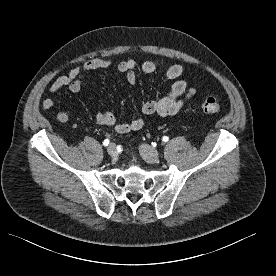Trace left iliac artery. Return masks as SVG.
Listing matches in <instances>:
<instances>
[{"mask_svg": "<svg viewBox=\"0 0 276 276\" xmlns=\"http://www.w3.org/2000/svg\"><path fill=\"white\" fill-rule=\"evenodd\" d=\"M162 140H163L164 142H167V141L169 140V138H168L167 136H164V137L162 138Z\"/></svg>", "mask_w": 276, "mask_h": 276, "instance_id": "left-iliac-artery-1", "label": "left iliac artery"}]
</instances>
